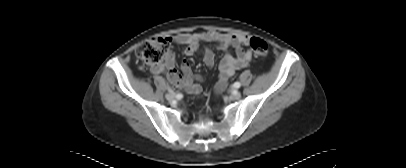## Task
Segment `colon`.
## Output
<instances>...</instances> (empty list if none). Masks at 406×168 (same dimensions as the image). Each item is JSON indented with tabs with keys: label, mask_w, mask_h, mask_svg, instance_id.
Here are the masks:
<instances>
[{
	"label": "colon",
	"mask_w": 406,
	"mask_h": 168,
	"mask_svg": "<svg viewBox=\"0 0 406 168\" xmlns=\"http://www.w3.org/2000/svg\"><path fill=\"white\" fill-rule=\"evenodd\" d=\"M249 45L255 55L266 57L268 54V44L259 37H251ZM171 39L168 37H153L143 42L137 49V57L149 65L160 64L170 53Z\"/></svg>",
	"instance_id": "obj_1"
}]
</instances>
